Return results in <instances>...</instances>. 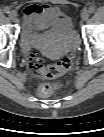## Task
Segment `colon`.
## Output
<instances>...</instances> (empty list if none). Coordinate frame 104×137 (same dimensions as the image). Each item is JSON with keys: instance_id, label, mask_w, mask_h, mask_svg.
<instances>
[{"instance_id": "1", "label": "colon", "mask_w": 104, "mask_h": 137, "mask_svg": "<svg viewBox=\"0 0 104 137\" xmlns=\"http://www.w3.org/2000/svg\"><path fill=\"white\" fill-rule=\"evenodd\" d=\"M28 61L30 69L33 72L44 78L53 79L66 73L73 67L74 56L69 55L56 64H47L40 58L35 50L31 49L28 52ZM53 91L54 87L50 83H43L38 88V94L42 97L50 96Z\"/></svg>"}]
</instances>
